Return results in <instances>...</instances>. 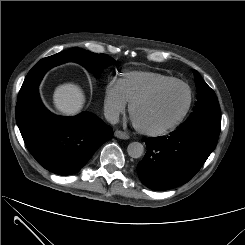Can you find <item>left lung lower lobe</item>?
<instances>
[{"label":"left lung lower lobe","instance_id":"obj_1","mask_svg":"<svg viewBox=\"0 0 245 245\" xmlns=\"http://www.w3.org/2000/svg\"><path fill=\"white\" fill-rule=\"evenodd\" d=\"M219 133L207 126H190L167 137L147 138V152L137 166L141 182L156 191L188 182L215 149Z\"/></svg>","mask_w":245,"mask_h":245}]
</instances>
